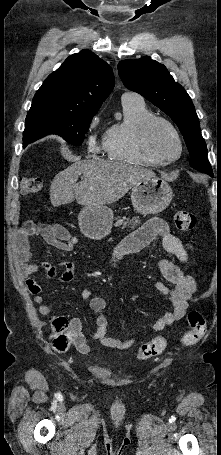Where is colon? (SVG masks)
<instances>
[{
  "mask_svg": "<svg viewBox=\"0 0 221 455\" xmlns=\"http://www.w3.org/2000/svg\"><path fill=\"white\" fill-rule=\"evenodd\" d=\"M45 183L38 177H24L21 181L20 190L24 195H32L42 191ZM174 222L179 231L192 232L196 226V217L193 213L179 211L174 215ZM190 326L189 331L183 337V343L193 345L197 343L206 332V323L202 314L198 311H190L187 315ZM54 340L53 345L57 351H64L70 343V323L65 317H57L53 320ZM167 341L158 336L145 343L139 350L141 359H150L160 355L166 348Z\"/></svg>",
  "mask_w": 221,
  "mask_h": 455,
  "instance_id": "colon-1",
  "label": "colon"
}]
</instances>
